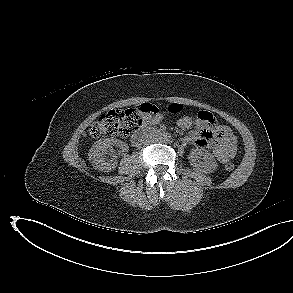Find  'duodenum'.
Listing matches in <instances>:
<instances>
[{
  "label": "duodenum",
  "instance_id": "obj_1",
  "mask_svg": "<svg viewBox=\"0 0 293 293\" xmlns=\"http://www.w3.org/2000/svg\"><path fill=\"white\" fill-rule=\"evenodd\" d=\"M163 131H155L149 128L148 126L142 127L135 131L131 136V143L134 146L141 144V142L152 135H163Z\"/></svg>",
  "mask_w": 293,
  "mask_h": 293
}]
</instances>
